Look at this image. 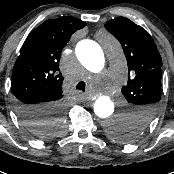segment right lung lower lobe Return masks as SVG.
<instances>
[{
  "label": "right lung lower lobe",
  "instance_id": "98d812e1",
  "mask_svg": "<svg viewBox=\"0 0 174 174\" xmlns=\"http://www.w3.org/2000/svg\"><path fill=\"white\" fill-rule=\"evenodd\" d=\"M15 97L17 98L16 102H17V112L18 114L24 119L26 120V122H30L33 120H27L23 117V113L24 114H36L39 115L41 110L38 108L40 105L39 104H26L25 101L28 99H32L33 97H35L33 94H27V93H17L15 95ZM57 105L59 106V108H62V104H60L59 102H57ZM37 118L34 117V119Z\"/></svg>",
  "mask_w": 174,
  "mask_h": 174
}]
</instances>
